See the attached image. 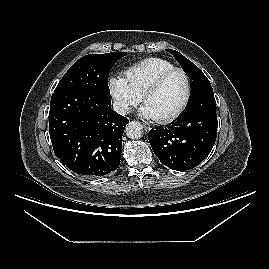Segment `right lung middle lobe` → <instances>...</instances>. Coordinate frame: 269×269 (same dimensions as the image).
Here are the masks:
<instances>
[{
  "label": "right lung middle lobe",
  "instance_id": "obj_1",
  "mask_svg": "<svg viewBox=\"0 0 269 269\" xmlns=\"http://www.w3.org/2000/svg\"><path fill=\"white\" fill-rule=\"evenodd\" d=\"M126 52L89 54L77 60L65 73L55 92L80 89L109 96L110 69Z\"/></svg>",
  "mask_w": 269,
  "mask_h": 269
}]
</instances>
